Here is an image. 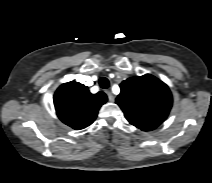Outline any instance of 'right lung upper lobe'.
I'll return each instance as SVG.
<instances>
[{
	"instance_id": "right-lung-upper-lobe-1",
	"label": "right lung upper lobe",
	"mask_w": 212,
	"mask_h": 183,
	"mask_svg": "<svg viewBox=\"0 0 212 183\" xmlns=\"http://www.w3.org/2000/svg\"><path fill=\"white\" fill-rule=\"evenodd\" d=\"M107 101L103 92L91 94L87 86L75 81L62 84L54 95L60 120L73 129H83L95 120L99 108Z\"/></svg>"
}]
</instances>
